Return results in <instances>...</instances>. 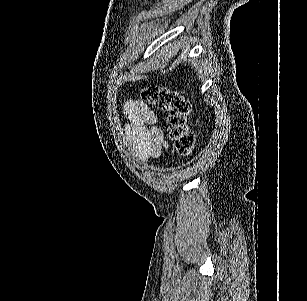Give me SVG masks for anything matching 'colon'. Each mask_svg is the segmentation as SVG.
Here are the masks:
<instances>
[{
  "label": "colon",
  "mask_w": 307,
  "mask_h": 301,
  "mask_svg": "<svg viewBox=\"0 0 307 301\" xmlns=\"http://www.w3.org/2000/svg\"><path fill=\"white\" fill-rule=\"evenodd\" d=\"M140 95L144 102L167 112L170 140L179 155H190L195 144L194 135L187 125L191 110L190 102L180 93L156 85L142 88Z\"/></svg>",
  "instance_id": "colon-1"
}]
</instances>
